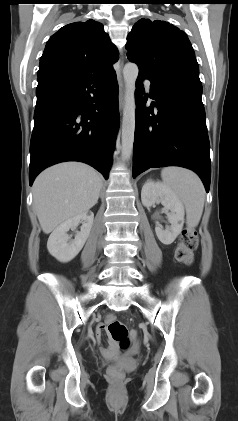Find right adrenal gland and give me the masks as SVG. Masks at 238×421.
I'll use <instances>...</instances> for the list:
<instances>
[{"label": "right adrenal gland", "instance_id": "obj_1", "mask_svg": "<svg viewBox=\"0 0 238 421\" xmlns=\"http://www.w3.org/2000/svg\"><path fill=\"white\" fill-rule=\"evenodd\" d=\"M102 196V190H101V192H100V197Z\"/></svg>", "mask_w": 238, "mask_h": 421}]
</instances>
